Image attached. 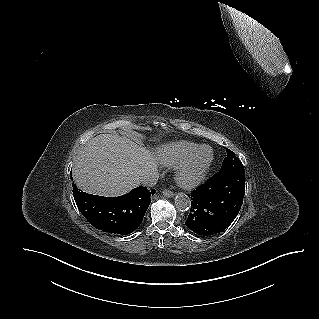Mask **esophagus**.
<instances>
[{"label": "esophagus", "mask_w": 319, "mask_h": 319, "mask_svg": "<svg viewBox=\"0 0 319 319\" xmlns=\"http://www.w3.org/2000/svg\"><path fill=\"white\" fill-rule=\"evenodd\" d=\"M162 193L164 196H166L168 198H172L174 196V193L170 190H167V189H164Z\"/></svg>", "instance_id": "34e87169"}]
</instances>
